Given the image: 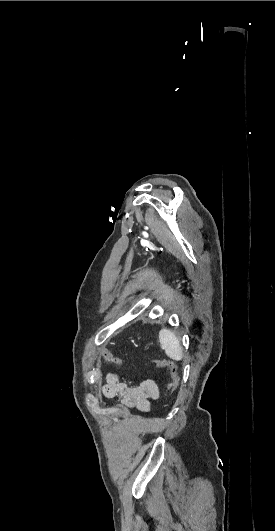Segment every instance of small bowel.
<instances>
[{
  "instance_id": "1",
  "label": "small bowel",
  "mask_w": 275,
  "mask_h": 531,
  "mask_svg": "<svg viewBox=\"0 0 275 531\" xmlns=\"http://www.w3.org/2000/svg\"><path fill=\"white\" fill-rule=\"evenodd\" d=\"M101 391L105 398L119 397L124 408H135L143 413L150 411L151 400H157L160 397L158 380L143 378L134 384L126 382L123 375L115 371L107 374L106 383Z\"/></svg>"
}]
</instances>
